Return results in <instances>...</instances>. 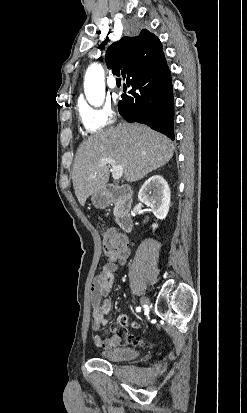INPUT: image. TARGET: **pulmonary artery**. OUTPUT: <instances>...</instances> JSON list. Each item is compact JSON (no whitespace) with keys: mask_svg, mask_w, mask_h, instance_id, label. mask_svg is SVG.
Instances as JSON below:
<instances>
[{"mask_svg":"<svg viewBox=\"0 0 247 413\" xmlns=\"http://www.w3.org/2000/svg\"><path fill=\"white\" fill-rule=\"evenodd\" d=\"M107 84H108V86H109L111 89H113V90L117 89V82H116V79H115L114 76L111 75V76L108 78Z\"/></svg>","mask_w":247,"mask_h":413,"instance_id":"1","label":"pulmonary artery"}]
</instances>
